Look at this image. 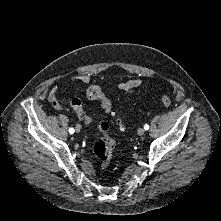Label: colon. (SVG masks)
Masks as SVG:
<instances>
[{"label":"colon","mask_w":221,"mask_h":221,"mask_svg":"<svg viewBox=\"0 0 221 221\" xmlns=\"http://www.w3.org/2000/svg\"><path fill=\"white\" fill-rule=\"evenodd\" d=\"M87 96L92 99H97L100 101L101 107L109 115L116 118L117 123L120 127H123L122 121L117 117V113L114 109V104L112 100L106 96L101 88L97 85H92L87 89ZM159 102L165 106L169 107L171 105V99L167 94H161L159 96ZM71 107L75 111L78 119L85 123H93L92 117L84 109L82 102L79 99H74L71 102ZM98 129L102 133V137L94 144L93 151L97 159L99 160L101 169H105L112 158L113 150L115 147V141L109 136V124L102 122L98 124Z\"/></svg>","instance_id":"1"}]
</instances>
